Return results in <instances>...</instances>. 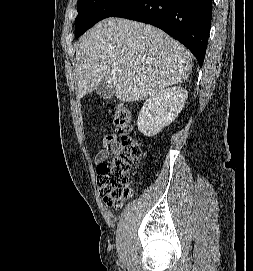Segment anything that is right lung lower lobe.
I'll use <instances>...</instances> for the list:
<instances>
[{
	"label": "right lung lower lobe",
	"mask_w": 253,
	"mask_h": 271,
	"mask_svg": "<svg viewBox=\"0 0 253 271\" xmlns=\"http://www.w3.org/2000/svg\"><path fill=\"white\" fill-rule=\"evenodd\" d=\"M112 17L154 25L184 44L203 64L212 19V0H129Z\"/></svg>",
	"instance_id": "right-lung-lower-lobe-1"
}]
</instances>
